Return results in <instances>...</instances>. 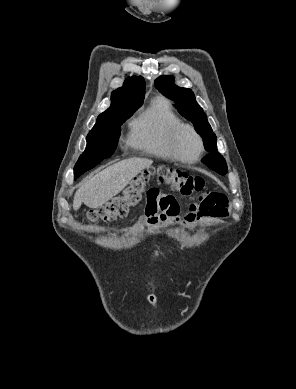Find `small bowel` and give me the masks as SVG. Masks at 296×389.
Returning a JSON list of instances; mask_svg holds the SVG:
<instances>
[{
  "label": "small bowel",
  "mask_w": 296,
  "mask_h": 389,
  "mask_svg": "<svg viewBox=\"0 0 296 389\" xmlns=\"http://www.w3.org/2000/svg\"><path fill=\"white\" fill-rule=\"evenodd\" d=\"M182 203L174 196L161 194L157 189L148 191L141 206L142 213L136 218L135 226L147 224L152 228L162 225H181L187 229L206 221L228 215L227 198L216 192H206L187 205L188 212L181 217Z\"/></svg>",
  "instance_id": "c3829d8e"
}]
</instances>
